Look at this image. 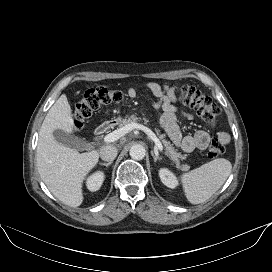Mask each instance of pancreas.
<instances>
[{
    "label": "pancreas",
    "mask_w": 272,
    "mask_h": 272,
    "mask_svg": "<svg viewBox=\"0 0 272 272\" xmlns=\"http://www.w3.org/2000/svg\"><path fill=\"white\" fill-rule=\"evenodd\" d=\"M138 120L139 119L135 115H131L128 118L121 120L120 126H125L127 124L132 123V122H137ZM156 133H157V136L159 137V139H161V141L166 149V154L173 161V163H175L176 167L178 169L188 170L189 169L188 165H181L180 164V159H185L186 155L178 153L175 150L173 144L166 139V135L160 133V129H156Z\"/></svg>",
    "instance_id": "obj_1"
}]
</instances>
